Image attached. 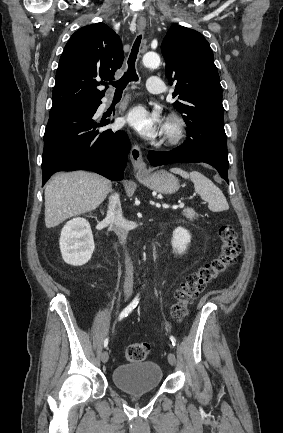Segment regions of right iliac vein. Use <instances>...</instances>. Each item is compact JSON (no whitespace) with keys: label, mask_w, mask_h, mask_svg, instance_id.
Returning <instances> with one entry per match:
<instances>
[{"label":"right iliac vein","mask_w":283,"mask_h":433,"mask_svg":"<svg viewBox=\"0 0 283 433\" xmlns=\"http://www.w3.org/2000/svg\"><path fill=\"white\" fill-rule=\"evenodd\" d=\"M108 359H109L108 352H107V351H104V352L101 354V360H102L103 363H106V362L108 361Z\"/></svg>","instance_id":"63e3f726"}]
</instances>
